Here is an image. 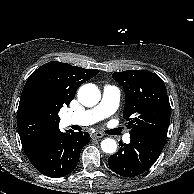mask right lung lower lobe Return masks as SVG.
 Returning <instances> with one entry per match:
<instances>
[{"mask_svg": "<svg viewBox=\"0 0 194 194\" xmlns=\"http://www.w3.org/2000/svg\"><path fill=\"white\" fill-rule=\"evenodd\" d=\"M90 141L87 132L60 130L24 149L33 166L42 174L58 178L72 172L78 162L82 148Z\"/></svg>", "mask_w": 194, "mask_h": 194, "instance_id": "right-lung-lower-lobe-1", "label": "right lung lower lobe"}]
</instances>
